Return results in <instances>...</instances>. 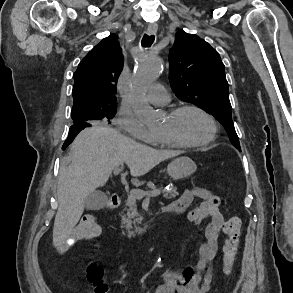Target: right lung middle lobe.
<instances>
[{
    "instance_id": "dd1d6c3e",
    "label": "right lung middle lobe",
    "mask_w": 293,
    "mask_h": 293,
    "mask_svg": "<svg viewBox=\"0 0 293 293\" xmlns=\"http://www.w3.org/2000/svg\"><path fill=\"white\" fill-rule=\"evenodd\" d=\"M116 108L110 109H91L76 108L73 106L71 111V117L73 123L79 122H91L94 120L109 121L115 116Z\"/></svg>"
}]
</instances>
